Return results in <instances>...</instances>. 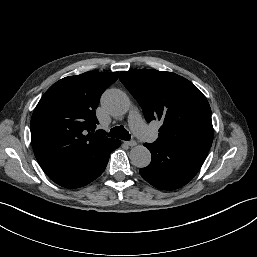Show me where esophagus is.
I'll use <instances>...</instances> for the list:
<instances>
[{"instance_id": "1", "label": "esophagus", "mask_w": 257, "mask_h": 257, "mask_svg": "<svg viewBox=\"0 0 257 257\" xmlns=\"http://www.w3.org/2000/svg\"><path fill=\"white\" fill-rule=\"evenodd\" d=\"M125 144L128 145V146H130V147H133V146H135L137 143H136V141H133V140H132V141H126Z\"/></svg>"}]
</instances>
